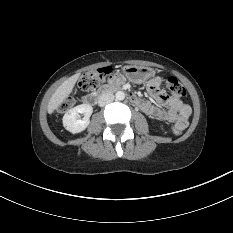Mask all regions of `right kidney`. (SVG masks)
<instances>
[{"mask_svg": "<svg viewBox=\"0 0 233 233\" xmlns=\"http://www.w3.org/2000/svg\"><path fill=\"white\" fill-rule=\"evenodd\" d=\"M93 108L89 104H81L68 110L63 116V126L69 132L76 134L87 128L90 123V116ZM79 114H84L82 119H78Z\"/></svg>", "mask_w": 233, "mask_h": 233, "instance_id": "ca27d5eb", "label": "right kidney"}]
</instances>
